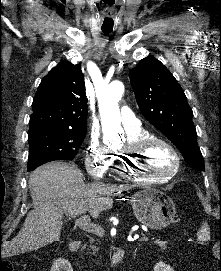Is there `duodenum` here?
I'll use <instances>...</instances> for the list:
<instances>
[{
    "label": "duodenum",
    "mask_w": 221,
    "mask_h": 271,
    "mask_svg": "<svg viewBox=\"0 0 221 271\" xmlns=\"http://www.w3.org/2000/svg\"><path fill=\"white\" fill-rule=\"evenodd\" d=\"M79 244L80 243L78 241H71L68 245V252L72 253L76 251L79 247ZM124 257H125V251L123 249L116 251L111 261L112 269H116L122 263Z\"/></svg>",
    "instance_id": "duodenum-1"
}]
</instances>
